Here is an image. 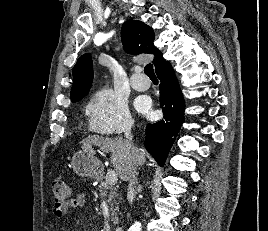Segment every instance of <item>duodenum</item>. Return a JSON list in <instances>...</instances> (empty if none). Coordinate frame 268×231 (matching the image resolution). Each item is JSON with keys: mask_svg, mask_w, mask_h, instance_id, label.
Returning a JSON list of instances; mask_svg holds the SVG:
<instances>
[{"mask_svg": "<svg viewBox=\"0 0 268 231\" xmlns=\"http://www.w3.org/2000/svg\"><path fill=\"white\" fill-rule=\"evenodd\" d=\"M116 231H124L122 228H117Z\"/></svg>", "mask_w": 268, "mask_h": 231, "instance_id": "1", "label": "duodenum"}]
</instances>
